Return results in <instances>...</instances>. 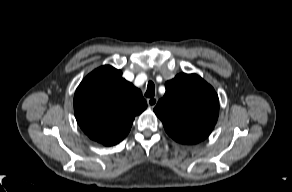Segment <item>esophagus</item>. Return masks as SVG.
<instances>
[{
	"instance_id": "obj_1",
	"label": "esophagus",
	"mask_w": 292,
	"mask_h": 192,
	"mask_svg": "<svg viewBox=\"0 0 292 192\" xmlns=\"http://www.w3.org/2000/svg\"><path fill=\"white\" fill-rule=\"evenodd\" d=\"M158 102V98L157 97H152V98H148L147 99V104L149 107L153 108Z\"/></svg>"
}]
</instances>
